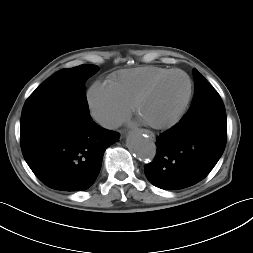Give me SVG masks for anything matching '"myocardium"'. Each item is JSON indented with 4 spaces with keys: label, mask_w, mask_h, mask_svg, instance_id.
Returning a JSON list of instances; mask_svg holds the SVG:
<instances>
[{
    "label": "myocardium",
    "mask_w": 253,
    "mask_h": 253,
    "mask_svg": "<svg viewBox=\"0 0 253 253\" xmlns=\"http://www.w3.org/2000/svg\"><path fill=\"white\" fill-rule=\"evenodd\" d=\"M174 74H180L182 76H184L187 80V84H188V89H187V94L182 102V104L180 105L179 109L177 110V112L175 113V115L169 119L166 122L163 123H151V122H147L145 120H143L140 116V108L141 105L143 103V101L151 94V92L157 87V85L159 83H161L163 80H165L166 78H168L171 75ZM192 93H193V83L192 80L190 78V76L183 70L180 69H172L169 70L168 72L158 76L157 78H155L154 80H152L135 98L132 108L134 113L140 117V119L148 126L154 128V129H168L172 126H174L184 115L191 97H192Z\"/></svg>",
    "instance_id": "1"
}]
</instances>
